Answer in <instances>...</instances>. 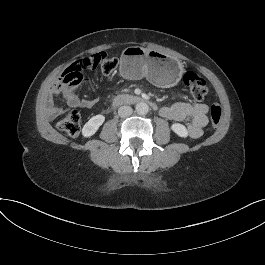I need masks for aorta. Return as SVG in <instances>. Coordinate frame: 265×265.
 Segmentation results:
<instances>
[{
	"label": "aorta",
	"instance_id": "762f6f07",
	"mask_svg": "<svg viewBox=\"0 0 265 265\" xmlns=\"http://www.w3.org/2000/svg\"><path fill=\"white\" fill-rule=\"evenodd\" d=\"M135 110L139 115H145L149 111V107L146 103L140 102L136 105Z\"/></svg>",
	"mask_w": 265,
	"mask_h": 265
}]
</instances>
